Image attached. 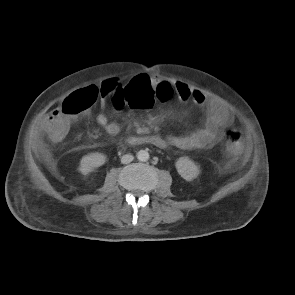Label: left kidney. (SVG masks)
<instances>
[{
    "label": "left kidney",
    "mask_w": 295,
    "mask_h": 295,
    "mask_svg": "<svg viewBox=\"0 0 295 295\" xmlns=\"http://www.w3.org/2000/svg\"><path fill=\"white\" fill-rule=\"evenodd\" d=\"M178 174L186 181H192L199 174L198 166L188 157H180L175 162Z\"/></svg>",
    "instance_id": "left-kidney-1"
}]
</instances>
